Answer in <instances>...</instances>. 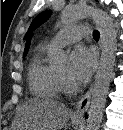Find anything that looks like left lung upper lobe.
<instances>
[{
	"label": "left lung upper lobe",
	"instance_id": "5c2ea615",
	"mask_svg": "<svg viewBox=\"0 0 123 130\" xmlns=\"http://www.w3.org/2000/svg\"><path fill=\"white\" fill-rule=\"evenodd\" d=\"M51 15L50 11H44L41 14H39L31 23L29 30L26 34V36L35 28H37L38 26H40L42 23H44Z\"/></svg>",
	"mask_w": 123,
	"mask_h": 130
}]
</instances>
